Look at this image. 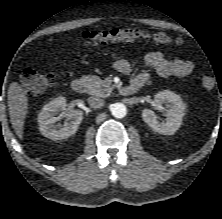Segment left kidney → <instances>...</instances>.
<instances>
[{"label": "left kidney", "mask_w": 222, "mask_h": 219, "mask_svg": "<svg viewBox=\"0 0 222 219\" xmlns=\"http://www.w3.org/2000/svg\"><path fill=\"white\" fill-rule=\"evenodd\" d=\"M154 103L156 107L165 104L169 109L167 112V121L160 122L155 116L154 111L150 109L142 111V119L157 133L163 135L174 134L182 124V118L186 109L181 97L174 92L164 90L155 95Z\"/></svg>", "instance_id": "5707ae66"}]
</instances>
